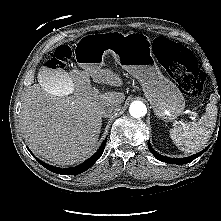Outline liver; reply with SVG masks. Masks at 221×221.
<instances>
[{
    "instance_id": "1",
    "label": "liver",
    "mask_w": 221,
    "mask_h": 221,
    "mask_svg": "<svg viewBox=\"0 0 221 221\" xmlns=\"http://www.w3.org/2000/svg\"><path fill=\"white\" fill-rule=\"evenodd\" d=\"M42 67L38 83L29 86L22 100L20 123L31 150L57 165L69 166L92 154L102 126L101 110L108 104H121L124 93L98 95L89 76L113 86H121V78L110 70L61 71L66 90L59 94L50 90L54 73Z\"/></svg>"
}]
</instances>
